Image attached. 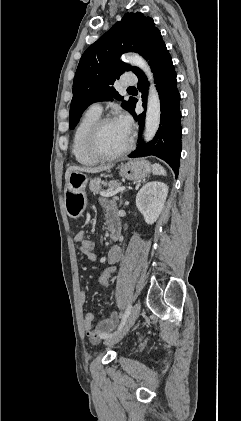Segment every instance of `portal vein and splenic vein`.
I'll return each instance as SVG.
<instances>
[{"label": "portal vein and splenic vein", "mask_w": 241, "mask_h": 421, "mask_svg": "<svg viewBox=\"0 0 241 421\" xmlns=\"http://www.w3.org/2000/svg\"><path fill=\"white\" fill-rule=\"evenodd\" d=\"M123 190H125V187L121 186V187L116 188L115 190H111V191H107V192H100V194L102 196H106V197L115 196L118 192H121Z\"/></svg>", "instance_id": "portal-vein-and-splenic-vein-1"}]
</instances>
